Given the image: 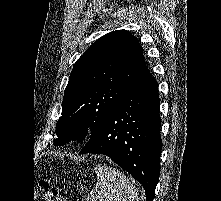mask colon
<instances>
[{"label":"colon","mask_w":221,"mask_h":201,"mask_svg":"<svg viewBox=\"0 0 221 201\" xmlns=\"http://www.w3.org/2000/svg\"><path fill=\"white\" fill-rule=\"evenodd\" d=\"M36 198L41 201H64L59 194V189L50 184L46 179H41L36 190Z\"/></svg>","instance_id":"obj_1"}]
</instances>
